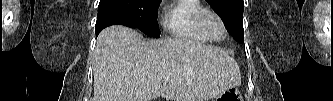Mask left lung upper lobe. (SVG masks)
<instances>
[{"instance_id":"1","label":"left lung upper lobe","mask_w":333,"mask_h":101,"mask_svg":"<svg viewBox=\"0 0 333 101\" xmlns=\"http://www.w3.org/2000/svg\"><path fill=\"white\" fill-rule=\"evenodd\" d=\"M207 2L219 14L233 38L243 43V0H207Z\"/></svg>"}]
</instances>
